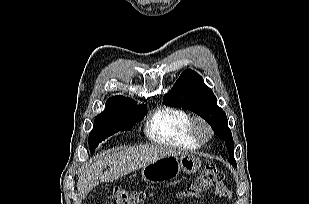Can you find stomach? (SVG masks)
I'll use <instances>...</instances> for the list:
<instances>
[{
	"instance_id": "obj_1",
	"label": "stomach",
	"mask_w": 309,
	"mask_h": 204,
	"mask_svg": "<svg viewBox=\"0 0 309 204\" xmlns=\"http://www.w3.org/2000/svg\"><path fill=\"white\" fill-rule=\"evenodd\" d=\"M201 167V160L189 154L171 155L152 162L142 168V179L149 183H159L174 179L182 171L196 173Z\"/></svg>"
}]
</instances>
